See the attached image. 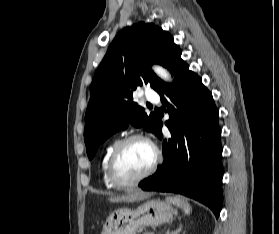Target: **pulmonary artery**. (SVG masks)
Instances as JSON below:
<instances>
[{
  "label": "pulmonary artery",
  "mask_w": 279,
  "mask_h": 234,
  "mask_svg": "<svg viewBox=\"0 0 279 234\" xmlns=\"http://www.w3.org/2000/svg\"><path fill=\"white\" fill-rule=\"evenodd\" d=\"M145 98L149 101L157 102L159 99V96L156 93L147 92V93H145Z\"/></svg>",
  "instance_id": "1"
}]
</instances>
